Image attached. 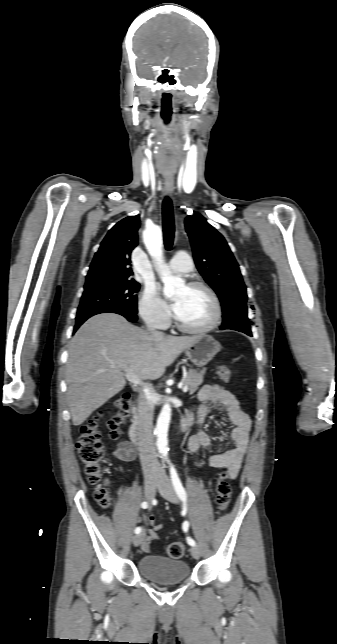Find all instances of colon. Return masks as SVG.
<instances>
[{
  "label": "colon",
  "mask_w": 337,
  "mask_h": 644,
  "mask_svg": "<svg viewBox=\"0 0 337 644\" xmlns=\"http://www.w3.org/2000/svg\"><path fill=\"white\" fill-rule=\"evenodd\" d=\"M216 371L220 379L225 382L230 381L231 368L229 365L220 364L217 366ZM130 408L131 400L129 394H123L115 400V413L107 421L111 439H117L119 437V426ZM76 448L80 460L84 465L87 480L95 487V500L102 508H107L110 505V496L107 479L102 473V458L105 448L98 429V416L93 417L81 427ZM231 491L228 473H219L215 485L216 502L219 512H223L228 507ZM166 552L170 558L179 559L184 555L185 547L181 542H173L168 545Z\"/></svg>",
  "instance_id": "1"
}]
</instances>
